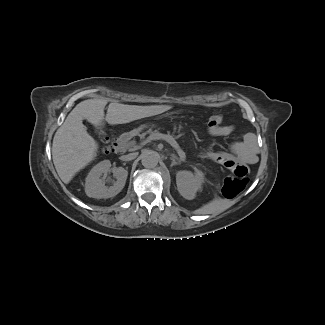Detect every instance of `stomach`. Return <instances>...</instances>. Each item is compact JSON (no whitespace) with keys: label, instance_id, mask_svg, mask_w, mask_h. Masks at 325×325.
Listing matches in <instances>:
<instances>
[{"label":"stomach","instance_id":"obj_1","mask_svg":"<svg viewBox=\"0 0 325 325\" xmlns=\"http://www.w3.org/2000/svg\"><path fill=\"white\" fill-rule=\"evenodd\" d=\"M139 130H134L132 132L129 133V135L133 136V135H136L138 133Z\"/></svg>","mask_w":325,"mask_h":325}]
</instances>
